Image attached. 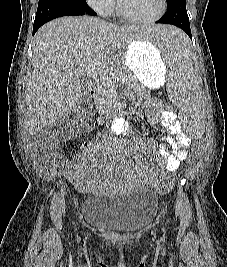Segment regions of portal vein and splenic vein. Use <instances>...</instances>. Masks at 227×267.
I'll return each instance as SVG.
<instances>
[{
    "mask_svg": "<svg viewBox=\"0 0 227 267\" xmlns=\"http://www.w3.org/2000/svg\"><path fill=\"white\" fill-rule=\"evenodd\" d=\"M70 74H74L77 77L78 76L88 77L98 83L102 82L105 78V75L101 71L96 69V67L93 65H90L82 69H77L74 72H70Z\"/></svg>",
    "mask_w": 227,
    "mask_h": 267,
    "instance_id": "obj_1",
    "label": "portal vein and splenic vein"
}]
</instances>
